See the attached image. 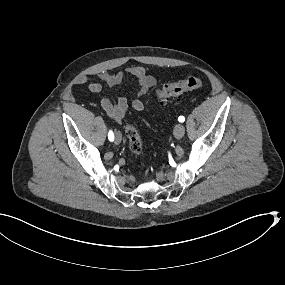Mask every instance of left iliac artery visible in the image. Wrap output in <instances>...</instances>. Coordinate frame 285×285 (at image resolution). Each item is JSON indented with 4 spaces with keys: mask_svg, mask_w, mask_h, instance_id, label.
I'll return each mask as SVG.
<instances>
[{
    "mask_svg": "<svg viewBox=\"0 0 285 285\" xmlns=\"http://www.w3.org/2000/svg\"><path fill=\"white\" fill-rule=\"evenodd\" d=\"M178 121H179V122H184V121H185L184 116H179Z\"/></svg>",
    "mask_w": 285,
    "mask_h": 285,
    "instance_id": "left-iliac-artery-1",
    "label": "left iliac artery"
}]
</instances>
